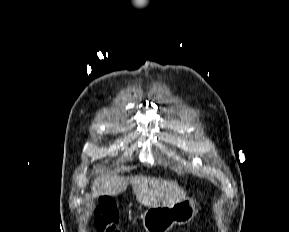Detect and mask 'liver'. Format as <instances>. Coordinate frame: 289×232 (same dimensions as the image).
<instances>
[{
    "mask_svg": "<svg viewBox=\"0 0 289 232\" xmlns=\"http://www.w3.org/2000/svg\"><path fill=\"white\" fill-rule=\"evenodd\" d=\"M96 173L99 168L96 167ZM131 184L136 199L146 207L168 206L185 198L186 192L176 181L147 176L124 177L102 172L91 185L92 197L116 196L123 193Z\"/></svg>",
    "mask_w": 289,
    "mask_h": 232,
    "instance_id": "1",
    "label": "liver"
}]
</instances>
